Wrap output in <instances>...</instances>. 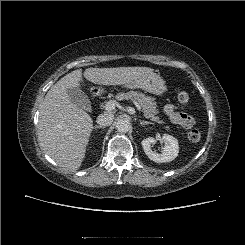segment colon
<instances>
[{"instance_id": "colon-1", "label": "colon", "mask_w": 245, "mask_h": 245, "mask_svg": "<svg viewBox=\"0 0 245 245\" xmlns=\"http://www.w3.org/2000/svg\"><path fill=\"white\" fill-rule=\"evenodd\" d=\"M190 100L189 93L186 91H180L178 94V101L183 108L188 107ZM188 139L191 142H198L201 139V133L197 129H193L188 133Z\"/></svg>"}]
</instances>
